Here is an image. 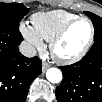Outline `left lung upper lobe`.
I'll return each instance as SVG.
<instances>
[{"instance_id": "5c2ea615", "label": "left lung upper lobe", "mask_w": 102, "mask_h": 102, "mask_svg": "<svg viewBox=\"0 0 102 102\" xmlns=\"http://www.w3.org/2000/svg\"><path fill=\"white\" fill-rule=\"evenodd\" d=\"M87 16H89L93 22L94 30H95V36L94 41L101 40L102 39V18L91 13V12H85Z\"/></svg>"}]
</instances>
